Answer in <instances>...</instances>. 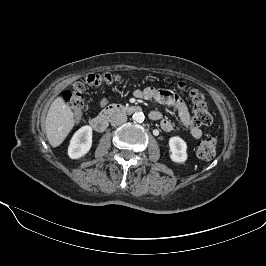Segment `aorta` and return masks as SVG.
Returning a JSON list of instances; mask_svg holds the SVG:
<instances>
[{"label": "aorta", "instance_id": "obj_1", "mask_svg": "<svg viewBox=\"0 0 266 266\" xmlns=\"http://www.w3.org/2000/svg\"><path fill=\"white\" fill-rule=\"evenodd\" d=\"M133 121L137 122V123H142L145 119V116L143 114V112H135L132 116Z\"/></svg>", "mask_w": 266, "mask_h": 266}]
</instances>
